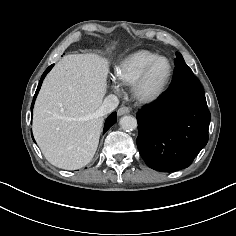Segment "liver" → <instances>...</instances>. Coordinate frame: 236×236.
<instances>
[{"label": "liver", "mask_w": 236, "mask_h": 236, "mask_svg": "<svg viewBox=\"0 0 236 236\" xmlns=\"http://www.w3.org/2000/svg\"><path fill=\"white\" fill-rule=\"evenodd\" d=\"M108 63L94 54L67 55L46 76L33 112V134L54 166L76 170L93 158L103 117Z\"/></svg>", "instance_id": "6515ba94"}]
</instances>
